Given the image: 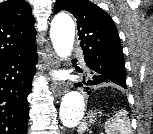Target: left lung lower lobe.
Here are the masks:
<instances>
[{
  "label": "left lung lower lobe",
  "mask_w": 153,
  "mask_h": 134,
  "mask_svg": "<svg viewBox=\"0 0 153 134\" xmlns=\"http://www.w3.org/2000/svg\"><path fill=\"white\" fill-rule=\"evenodd\" d=\"M83 75H84L83 82L77 83L76 86L77 87L84 86V89L88 93H90L92 90H94L95 86L106 82V79L104 77L100 76L98 73H96L92 70L89 71L88 73H84ZM123 88L126 89V86Z\"/></svg>",
  "instance_id": "left-lung-lower-lobe-1"
}]
</instances>
